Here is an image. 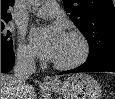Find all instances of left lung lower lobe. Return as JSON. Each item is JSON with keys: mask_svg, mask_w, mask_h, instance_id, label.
Listing matches in <instances>:
<instances>
[{"mask_svg": "<svg viewBox=\"0 0 115 99\" xmlns=\"http://www.w3.org/2000/svg\"><path fill=\"white\" fill-rule=\"evenodd\" d=\"M101 71L115 72V54L107 55L91 61L87 60L81 66L72 70L61 72L60 74Z\"/></svg>", "mask_w": 115, "mask_h": 99, "instance_id": "left-lung-lower-lobe-1", "label": "left lung lower lobe"}]
</instances>
